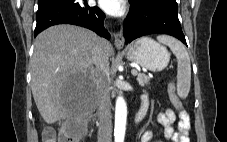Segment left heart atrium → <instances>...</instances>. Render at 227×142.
<instances>
[{
  "label": "left heart atrium",
  "mask_w": 227,
  "mask_h": 142,
  "mask_svg": "<svg viewBox=\"0 0 227 142\" xmlns=\"http://www.w3.org/2000/svg\"><path fill=\"white\" fill-rule=\"evenodd\" d=\"M102 10L110 15H119L122 13L124 0H97Z\"/></svg>",
  "instance_id": "39dd6f15"
}]
</instances>
